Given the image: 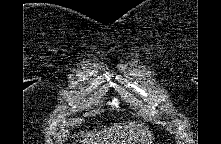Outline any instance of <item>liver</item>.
I'll return each mask as SVG.
<instances>
[{
    "label": "liver",
    "instance_id": "1",
    "mask_svg": "<svg viewBox=\"0 0 221 144\" xmlns=\"http://www.w3.org/2000/svg\"><path fill=\"white\" fill-rule=\"evenodd\" d=\"M152 134L143 123L114 124L102 131L88 132L80 142L87 144H149Z\"/></svg>",
    "mask_w": 221,
    "mask_h": 144
}]
</instances>
